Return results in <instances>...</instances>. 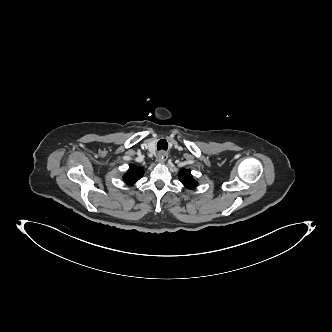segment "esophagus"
<instances>
[{
  "label": "esophagus",
  "mask_w": 332,
  "mask_h": 332,
  "mask_svg": "<svg viewBox=\"0 0 332 332\" xmlns=\"http://www.w3.org/2000/svg\"><path fill=\"white\" fill-rule=\"evenodd\" d=\"M168 158V154L165 151H161L158 155H157V161L159 163H164Z\"/></svg>",
  "instance_id": "1"
}]
</instances>
